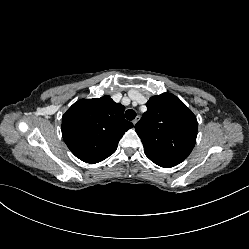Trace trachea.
I'll use <instances>...</instances> for the list:
<instances>
[{
	"instance_id": "trachea-1",
	"label": "trachea",
	"mask_w": 249,
	"mask_h": 249,
	"mask_svg": "<svg viewBox=\"0 0 249 249\" xmlns=\"http://www.w3.org/2000/svg\"><path fill=\"white\" fill-rule=\"evenodd\" d=\"M125 117L127 120H133L136 117V112L132 109H128L125 112Z\"/></svg>"
}]
</instances>
